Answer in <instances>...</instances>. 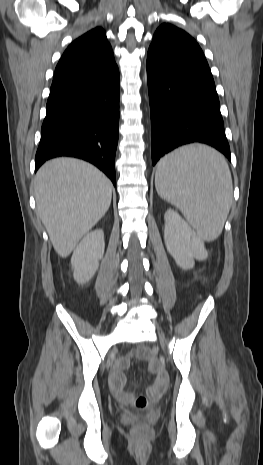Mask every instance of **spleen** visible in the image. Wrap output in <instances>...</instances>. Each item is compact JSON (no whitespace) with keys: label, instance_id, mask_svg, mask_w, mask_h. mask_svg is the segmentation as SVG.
<instances>
[{"label":"spleen","instance_id":"3e777b00","mask_svg":"<svg viewBox=\"0 0 263 465\" xmlns=\"http://www.w3.org/2000/svg\"><path fill=\"white\" fill-rule=\"evenodd\" d=\"M155 186L201 239L213 241L221 234L233 188L228 164L220 153L203 145L169 153L157 165Z\"/></svg>","mask_w":263,"mask_h":465}]
</instances>
